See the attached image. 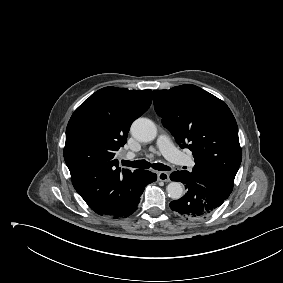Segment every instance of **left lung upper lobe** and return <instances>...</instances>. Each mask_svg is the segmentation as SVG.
<instances>
[{
  "label": "left lung upper lobe",
  "mask_w": 283,
  "mask_h": 283,
  "mask_svg": "<svg viewBox=\"0 0 283 283\" xmlns=\"http://www.w3.org/2000/svg\"><path fill=\"white\" fill-rule=\"evenodd\" d=\"M153 95L162 124L195 159L192 172H181L227 199L242 159L237 123L228 106L192 84L154 90Z\"/></svg>",
  "instance_id": "1"
}]
</instances>
